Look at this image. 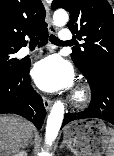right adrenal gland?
I'll return each instance as SVG.
<instances>
[{
	"label": "right adrenal gland",
	"mask_w": 114,
	"mask_h": 156,
	"mask_svg": "<svg viewBox=\"0 0 114 156\" xmlns=\"http://www.w3.org/2000/svg\"><path fill=\"white\" fill-rule=\"evenodd\" d=\"M33 137H31V139L29 140V142L25 145V147H28V145H33Z\"/></svg>",
	"instance_id": "2a0ac1e0"
}]
</instances>
